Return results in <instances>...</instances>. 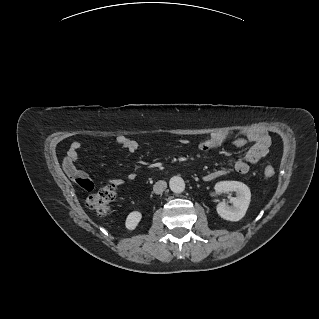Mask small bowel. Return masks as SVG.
Returning a JSON list of instances; mask_svg holds the SVG:
<instances>
[{
  "label": "small bowel",
  "instance_id": "1",
  "mask_svg": "<svg viewBox=\"0 0 319 319\" xmlns=\"http://www.w3.org/2000/svg\"><path fill=\"white\" fill-rule=\"evenodd\" d=\"M232 139V142L237 147H242L246 145L248 142L251 143L250 147L245 151L242 158L238 159L234 163V169L236 172L240 174H245L249 171L250 167L256 163H258L261 159H263L268 153V146L270 144V137L265 132H249L245 133L241 136H233L231 132H219L210 135L207 139L202 141L198 148L202 152L212 151L219 146H221L226 141ZM116 142L119 146L126 149L129 152H135L138 149V143L125 135H119L116 138ZM183 144L186 143L185 140L181 141ZM80 149V143L74 142L71 146V151L69 154V158L71 161L76 160L77 152ZM226 170L224 169H213L207 172L203 179L205 181H213L216 180L226 174ZM72 177L79 182L80 179H87V175L80 171H73ZM134 174L130 173L128 175V179H133ZM107 183L111 186L120 187L125 184V181L121 178H114L108 180Z\"/></svg>",
  "mask_w": 319,
  "mask_h": 319
}]
</instances>
